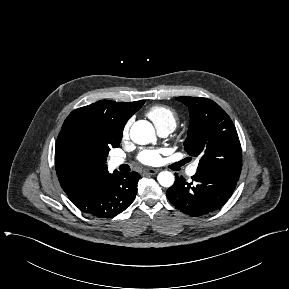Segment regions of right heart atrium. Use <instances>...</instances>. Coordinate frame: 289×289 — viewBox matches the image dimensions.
Masks as SVG:
<instances>
[{"label": "right heart atrium", "instance_id": "d8ad5b80", "mask_svg": "<svg viewBox=\"0 0 289 289\" xmlns=\"http://www.w3.org/2000/svg\"><path fill=\"white\" fill-rule=\"evenodd\" d=\"M131 124H132V120H128L127 123L124 125L123 130H122L123 138H126L129 135Z\"/></svg>", "mask_w": 289, "mask_h": 289}]
</instances>
